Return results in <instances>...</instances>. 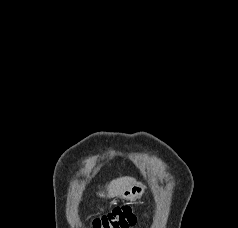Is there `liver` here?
I'll return each instance as SVG.
<instances>
[{"instance_id": "1", "label": "liver", "mask_w": 238, "mask_h": 228, "mask_svg": "<svg viewBox=\"0 0 238 228\" xmlns=\"http://www.w3.org/2000/svg\"><path fill=\"white\" fill-rule=\"evenodd\" d=\"M135 183V179L132 177H120L112 180L107 185V197H118L132 184ZM100 197H105L104 192L98 194Z\"/></svg>"}]
</instances>
